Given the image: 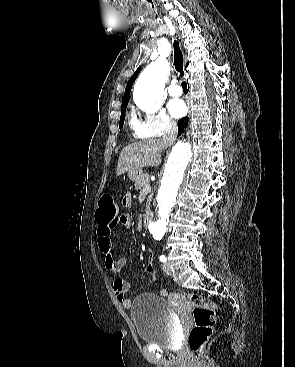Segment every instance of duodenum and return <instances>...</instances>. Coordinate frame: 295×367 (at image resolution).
Returning a JSON list of instances; mask_svg holds the SVG:
<instances>
[{
    "label": "duodenum",
    "instance_id": "duodenum-1",
    "mask_svg": "<svg viewBox=\"0 0 295 367\" xmlns=\"http://www.w3.org/2000/svg\"><path fill=\"white\" fill-rule=\"evenodd\" d=\"M153 219V215L150 212L145 213L144 217H143V226L145 228H148L150 223L152 222Z\"/></svg>",
    "mask_w": 295,
    "mask_h": 367
}]
</instances>
